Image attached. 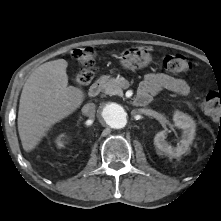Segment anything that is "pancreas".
<instances>
[{
	"label": "pancreas",
	"mask_w": 221,
	"mask_h": 221,
	"mask_svg": "<svg viewBox=\"0 0 221 221\" xmlns=\"http://www.w3.org/2000/svg\"><path fill=\"white\" fill-rule=\"evenodd\" d=\"M100 84L103 92L107 95L112 96L122 94V84L120 78L115 79L107 76L100 80Z\"/></svg>",
	"instance_id": "obj_1"
}]
</instances>
